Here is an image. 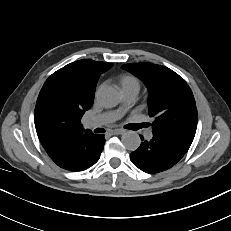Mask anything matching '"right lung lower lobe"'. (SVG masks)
Wrapping results in <instances>:
<instances>
[{
  "mask_svg": "<svg viewBox=\"0 0 231 231\" xmlns=\"http://www.w3.org/2000/svg\"><path fill=\"white\" fill-rule=\"evenodd\" d=\"M104 144V135H95L86 130L84 133L64 137L45 150L59 167L69 171H82L99 160Z\"/></svg>",
  "mask_w": 231,
  "mask_h": 231,
  "instance_id": "obj_1",
  "label": "right lung lower lobe"
}]
</instances>
